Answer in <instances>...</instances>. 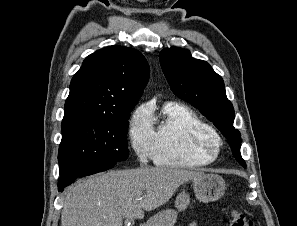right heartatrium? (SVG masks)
<instances>
[{"mask_svg":"<svg viewBox=\"0 0 297 226\" xmlns=\"http://www.w3.org/2000/svg\"><path fill=\"white\" fill-rule=\"evenodd\" d=\"M128 138L138 159L146 163L153 158L154 129L150 110L146 106L137 108L129 121Z\"/></svg>","mask_w":297,"mask_h":226,"instance_id":"1","label":"right heart atrium"}]
</instances>
